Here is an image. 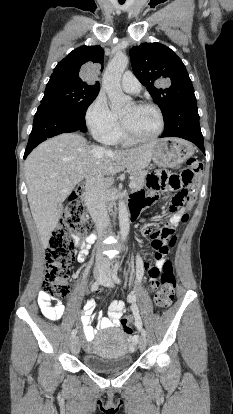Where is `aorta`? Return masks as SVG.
Masks as SVG:
<instances>
[{
	"instance_id": "762f6f07",
	"label": "aorta",
	"mask_w": 233,
	"mask_h": 414,
	"mask_svg": "<svg viewBox=\"0 0 233 414\" xmlns=\"http://www.w3.org/2000/svg\"><path fill=\"white\" fill-rule=\"evenodd\" d=\"M128 57L118 53L109 62L103 75V88L110 100V107L113 110L121 109L131 104L132 99L123 93L121 89V76L128 65ZM119 225L122 241H125L130 228L129 212L123 201L119 202Z\"/></svg>"
}]
</instances>
